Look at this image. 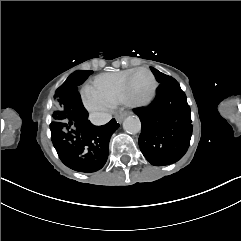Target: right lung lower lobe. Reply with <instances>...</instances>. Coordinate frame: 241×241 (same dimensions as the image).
I'll return each instance as SVG.
<instances>
[{"instance_id":"1","label":"right lung lower lobe","mask_w":241,"mask_h":241,"mask_svg":"<svg viewBox=\"0 0 241 241\" xmlns=\"http://www.w3.org/2000/svg\"><path fill=\"white\" fill-rule=\"evenodd\" d=\"M68 83L65 98L72 119L67 123L50 125L51 139L66 166L79 172H95L106 163L109 140L119 124L112 119L103 126L93 125L77 91L78 85L71 81Z\"/></svg>"}]
</instances>
